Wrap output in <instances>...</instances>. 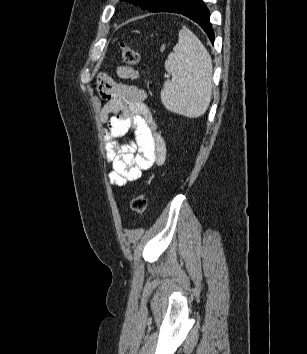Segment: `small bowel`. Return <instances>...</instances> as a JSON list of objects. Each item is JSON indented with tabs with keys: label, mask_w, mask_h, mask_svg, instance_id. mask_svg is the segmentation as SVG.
Masks as SVG:
<instances>
[{
	"label": "small bowel",
	"mask_w": 307,
	"mask_h": 354,
	"mask_svg": "<svg viewBox=\"0 0 307 354\" xmlns=\"http://www.w3.org/2000/svg\"><path fill=\"white\" fill-rule=\"evenodd\" d=\"M117 75L123 80L139 78L137 71L126 66L118 67ZM100 89L102 96L109 98L99 113L101 122L107 126L104 139L106 160L111 165L109 179L114 185L125 186L140 178L144 170L164 162L165 143L145 104L144 89L109 79H101ZM130 130L134 139L120 143L119 138Z\"/></svg>",
	"instance_id": "obj_1"
}]
</instances>
